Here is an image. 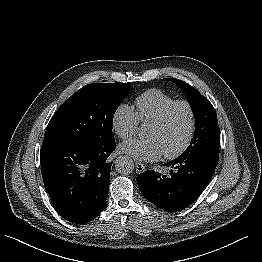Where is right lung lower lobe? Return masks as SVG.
<instances>
[{"mask_svg": "<svg viewBox=\"0 0 262 262\" xmlns=\"http://www.w3.org/2000/svg\"><path fill=\"white\" fill-rule=\"evenodd\" d=\"M115 149V140L43 142L40 162L44 186L64 219L87 223L104 208L112 165L109 156Z\"/></svg>", "mask_w": 262, "mask_h": 262, "instance_id": "98d812e1", "label": "right lung lower lobe"}]
</instances>
